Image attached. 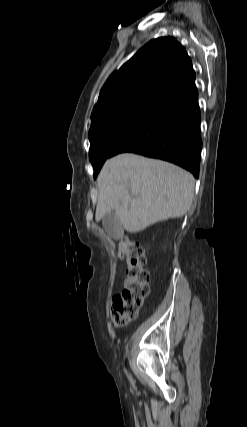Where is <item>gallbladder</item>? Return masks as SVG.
<instances>
[{"instance_id":"bac80fb5","label":"gallbladder","mask_w":247,"mask_h":427,"mask_svg":"<svg viewBox=\"0 0 247 427\" xmlns=\"http://www.w3.org/2000/svg\"><path fill=\"white\" fill-rule=\"evenodd\" d=\"M102 224L107 234L115 239L122 237L123 228L115 211H110L102 218Z\"/></svg>"}]
</instances>
